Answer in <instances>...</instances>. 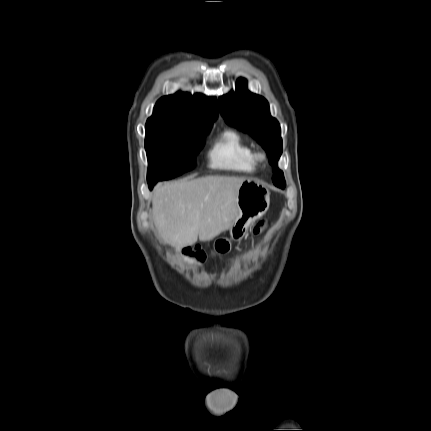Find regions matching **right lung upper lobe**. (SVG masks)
<instances>
[{"label": "right lung upper lobe", "instance_id": "obj_1", "mask_svg": "<svg viewBox=\"0 0 431 431\" xmlns=\"http://www.w3.org/2000/svg\"><path fill=\"white\" fill-rule=\"evenodd\" d=\"M218 117L215 98L208 99L202 94L177 92L160 98L153 115L147 123L173 125L191 129L212 126Z\"/></svg>", "mask_w": 431, "mask_h": 431}]
</instances>
